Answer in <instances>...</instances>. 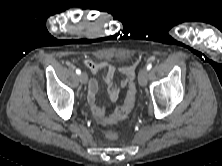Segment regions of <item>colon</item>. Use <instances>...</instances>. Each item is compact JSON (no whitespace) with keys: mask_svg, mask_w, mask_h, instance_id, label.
<instances>
[{"mask_svg":"<svg viewBox=\"0 0 222 166\" xmlns=\"http://www.w3.org/2000/svg\"><path fill=\"white\" fill-rule=\"evenodd\" d=\"M136 85L134 81H131L128 86V90L126 93L125 100L121 106H119L113 114H111L109 117L105 118L102 122V125L107 126L110 124H114L118 121L124 120L132 111L135 99H136ZM106 136L114 140L117 138V134L113 131H107Z\"/></svg>","mask_w":222,"mask_h":166,"instance_id":"5ec220e1","label":"colon"}]
</instances>
